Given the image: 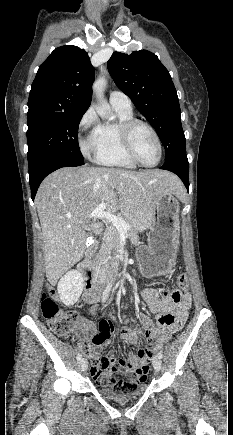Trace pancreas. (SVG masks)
<instances>
[{"instance_id":"obj_1","label":"pancreas","mask_w":233,"mask_h":435,"mask_svg":"<svg viewBox=\"0 0 233 435\" xmlns=\"http://www.w3.org/2000/svg\"><path fill=\"white\" fill-rule=\"evenodd\" d=\"M122 219H124L127 223L131 225L129 229L130 238L134 240L137 239L138 238L137 228L133 224V221L125 216H123ZM119 247H120L119 231L115 226L112 225L106 233L104 244L98 255V261L100 265H103L107 268L109 267V264L114 263V261L118 259Z\"/></svg>"}]
</instances>
